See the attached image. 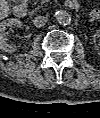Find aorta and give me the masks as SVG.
<instances>
[{
  "label": "aorta",
  "mask_w": 100,
  "mask_h": 118,
  "mask_svg": "<svg viewBox=\"0 0 100 118\" xmlns=\"http://www.w3.org/2000/svg\"><path fill=\"white\" fill-rule=\"evenodd\" d=\"M55 18L61 25H69L71 23V15L65 10L56 11Z\"/></svg>",
  "instance_id": "aorta-1"
}]
</instances>
